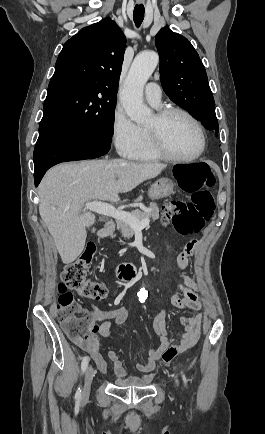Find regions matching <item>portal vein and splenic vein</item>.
Instances as JSON below:
<instances>
[{
    "instance_id": "18ae733b",
    "label": "portal vein and splenic vein",
    "mask_w": 265,
    "mask_h": 434,
    "mask_svg": "<svg viewBox=\"0 0 265 434\" xmlns=\"http://www.w3.org/2000/svg\"><path fill=\"white\" fill-rule=\"evenodd\" d=\"M142 208V206H140ZM85 210H90V212H96V214H102V216H110V218H115V220H120V222H126L134 230H144L146 226H149L150 220H138L134 218L133 214L130 212H123V210H116L114 206L110 204H103V202H86Z\"/></svg>"
}]
</instances>
